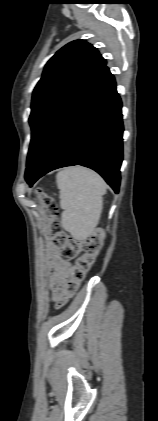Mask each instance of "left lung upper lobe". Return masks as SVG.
Returning <instances> with one entry per match:
<instances>
[{
    "mask_svg": "<svg viewBox=\"0 0 158 421\" xmlns=\"http://www.w3.org/2000/svg\"><path fill=\"white\" fill-rule=\"evenodd\" d=\"M106 60L85 40L62 47L45 65L32 96L31 143L27 165L45 131L76 92L102 67Z\"/></svg>",
    "mask_w": 158,
    "mask_h": 421,
    "instance_id": "1",
    "label": "left lung upper lobe"
}]
</instances>
